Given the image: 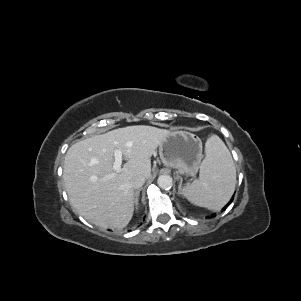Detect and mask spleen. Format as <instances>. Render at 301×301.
I'll return each instance as SVG.
<instances>
[{"mask_svg":"<svg viewBox=\"0 0 301 301\" xmlns=\"http://www.w3.org/2000/svg\"><path fill=\"white\" fill-rule=\"evenodd\" d=\"M205 153L199 179L186 185L182 194L192 204L217 212L234 193L236 168L228 148L216 135L207 140Z\"/></svg>","mask_w":301,"mask_h":301,"instance_id":"3e777b00","label":"spleen"}]
</instances>
